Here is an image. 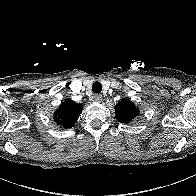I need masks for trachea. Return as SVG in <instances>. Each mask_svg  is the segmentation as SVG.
<instances>
[{
	"label": "trachea",
	"mask_w": 196,
	"mask_h": 196,
	"mask_svg": "<svg viewBox=\"0 0 196 196\" xmlns=\"http://www.w3.org/2000/svg\"><path fill=\"white\" fill-rule=\"evenodd\" d=\"M92 91L94 93H100L102 91V85L100 82L96 81L92 85Z\"/></svg>",
	"instance_id": "trachea-1"
}]
</instances>
